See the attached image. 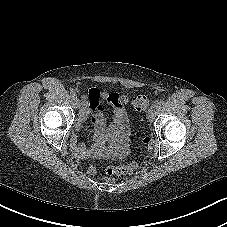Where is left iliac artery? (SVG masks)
Wrapping results in <instances>:
<instances>
[{
  "mask_svg": "<svg viewBox=\"0 0 227 227\" xmlns=\"http://www.w3.org/2000/svg\"><path fill=\"white\" fill-rule=\"evenodd\" d=\"M164 104V101L163 100H159V101H157V106H162Z\"/></svg>",
  "mask_w": 227,
  "mask_h": 227,
  "instance_id": "1",
  "label": "left iliac artery"
}]
</instances>
